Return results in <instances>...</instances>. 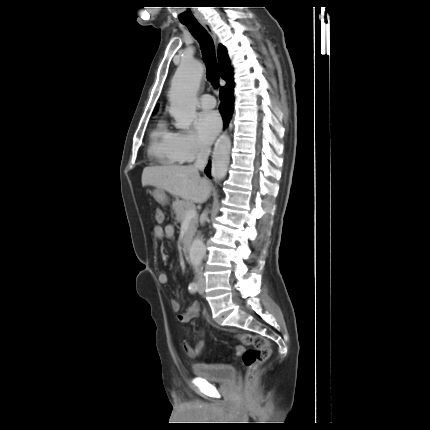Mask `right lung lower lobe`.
<instances>
[{"label":"right lung lower lobe","mask_w":430,"mask_h":430,"mask_svg":"<svg viewBox=\"0 0 430 430\" xmlns=\"http://www.w3.org/2000/svg\"><path fill=\"white\" fill-rule=\"evenodd\" d=\"M233 88H234V84L228 87H225L220 91L221 104L219 109L223 115L224 126H227L233 112V103H234ZM205 173L207 174L208 177H210L209 175L210 164H208L207 168L205 169Z\"/></svg>","instance_id":"1"}]
</instances>
